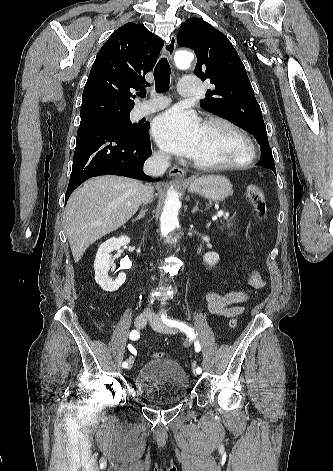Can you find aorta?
<instances>
[{
    "instance_id": "1",
    "label": "aorta",
    "mask_w": 333,
    "mask_h": 471,
    "mask_svg": "<svg viewBox=\"0 0 333 471\" xmlns=\"http://www.w3.org/2000/svg\"><path fill=\"white\" fill-rule=\"evenodd\" d=\"M193 55L187 51H180L175 56V63L179 68L189 67ZM181 203L178 193L170 188L164 203L163 211L160 217V231L162 236L167 237L178 225V212Z\"/></svg>"
}]
</instances>
